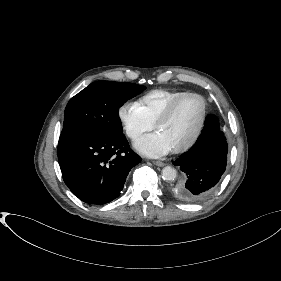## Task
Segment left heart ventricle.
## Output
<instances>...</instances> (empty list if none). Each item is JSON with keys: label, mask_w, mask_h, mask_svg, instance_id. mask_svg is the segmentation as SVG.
<instances>
[{"label": "left heart ventricle", "mask_w": 281, "mask_h": 281, "mask_svg": "<svg viewBox=\"0 0 281 281\" xmlns=\"http://www.w3.org/2000/svg\"><path fill=\"white\" fill-rule=\"evenodd\" d=\"M201 112L200 100L196 97H188L176 106L169 118L157 126L156 131L172 150L192 137L199 124Z\"/></svg>", "instance_id": "b2bd125f"}]
</instances>
